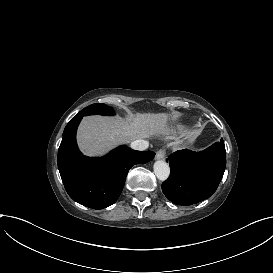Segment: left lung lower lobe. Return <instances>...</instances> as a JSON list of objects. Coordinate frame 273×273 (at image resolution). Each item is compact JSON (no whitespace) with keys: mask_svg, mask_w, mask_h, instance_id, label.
I'll return each mask as SVG.
<instances>
[{"mask_svg":"<svg viewBox=\"0 0 273 273\" xmlns=\"http://www.w3.org/2000/svg\"><path fill=\"white\" fill-rule=\"evenodd\" d=\"M170 177L162 191L177 205H192L209 198L217 189L226 167L223 139L204 151L187 149L172 153L168 160Z\"/></svg>","mask_w":273,"mask_h":273,"instance_id":"obj_1","label":"left lung lower lobe"}]
</instances>
